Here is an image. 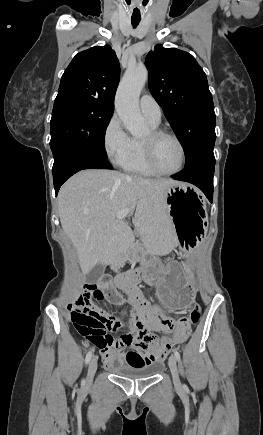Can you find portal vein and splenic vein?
<instances>
[{"instance_id":"1","label":"portal vein and splenic vein","mask_w":263,"mask_h":435,"mask_svg":"<svg viewBox=\"0 0 263 435\" xmlns=\"http://www.w3.org/2000/svg\"><path fill=\"white\" fill-rule=\"evenodd\" d=\"M128 214V210H123L117 213V218L118 219H123L125 218V216Z\"/></svg>"}]
</instances>
